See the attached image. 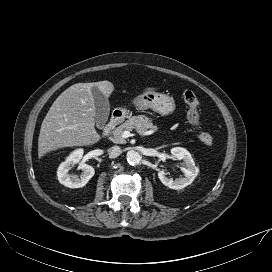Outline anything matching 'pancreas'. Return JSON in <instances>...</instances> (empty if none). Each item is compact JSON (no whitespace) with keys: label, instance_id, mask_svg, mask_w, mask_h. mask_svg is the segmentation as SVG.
I'll use <instances>...</instances> for the list:
<instances>
[{"label":"pancreas","instance_id":"obj_1","mask_svg":"<svg viewBox=\"0 0 272 272\" xmlns=\"http://www.w3.org/2000/svg\"><path fill=\"white\" fill-rule=\"evenodd\" d=\"M143 122L141 121L140 116H132L130 117L127 121H125L123 124L120 126L116 127L112 131V141L116 144H125L126 140L123 138L122 134L124 131H132L133 129L139 127L142 125ZM150 130L152 131H157L158 127L155 125H150L149 126Z\"/></svg>","mask_w":272,"mask_h":272}]
</instances>
